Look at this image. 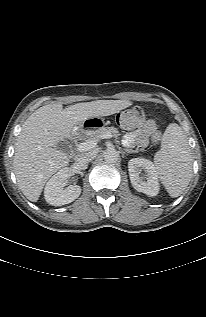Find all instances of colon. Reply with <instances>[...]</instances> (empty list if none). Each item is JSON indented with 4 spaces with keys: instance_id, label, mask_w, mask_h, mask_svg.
I'll list each match as a JSON object with an SVG mask.
<instances>
[{
    "instance_id": "obj_1",
    "label": "colon",
    "mask_w": 206,
    "mask_h": 317,
    "mask_svg": "<svg viewBox=\"0 0 206 317\" xmlns=\"http://www.w3.org/2000/svg\"><path fill=\"white\" fill-rule=\"evenodd\" d=\"M145 121L144 110L139 106H133L126 110H123L116 116V122L118 126L124 129H133L142 125ZM161 137L160 132H156L154 135L155 141H159Z\"/></svg>"
}]
</instances>
